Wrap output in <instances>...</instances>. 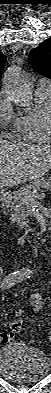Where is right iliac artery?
Segmentation results:
<instances>
[{
  "label": "right iliac artery",
  "instance_id": "1",
  "mask_svg": "<svg viewBox=\"0 0 51 393\" xmlns=\"http://www.w3.org/2000/svg\"><path fill=\"white\" fill-rule=\"evenodd\" d=\"M30 274L31 272H29L28 270L15 271L4 278L1 287L2 289H9L11 286L15 285L16 283L24 279H27Z\"/></svg>",
  "mask_w": 51,
  "mask_h": 393
}]
</instances>
